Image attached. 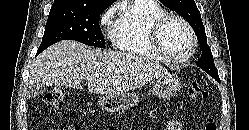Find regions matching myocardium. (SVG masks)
Returning a JSON list of instances; mask_svg holds the SVG:
<instances>
[{"label":"myocardium","instance_id":"myocardium-1","mask_svg":"<svg viewBox=\"0 0 249 130\" xmlns=\"http://www.w3.org/2000/svg\"><path fill=\"white\" fill-rule=\"evenodd\" d=\"M171 20H176L180 22L185 29L187 30L190 39H191V47L189 52L180 58L173 57L167 51L165 50L162 42V35L165 26L167 25L168 22ZM150 40L153 49L155 52L162 58L163 60L170 62V63H176V64H181L189 61L195 54L197 46H198V40L196 33L193 29V27L190 25V23L182 16L175 14V13H166L162 15L161 17L157 18L150 29Z\"/></svg>","mask_w":249,"mask_h":130}]
</instances>
